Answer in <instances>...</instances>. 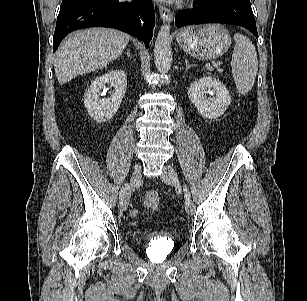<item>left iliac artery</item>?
<instances>
[{
	"label": "left iliac artery",
	"instance_id": "1",
	"mask_svg": "<svg viewBox=\"0 0 307 301\" xmlns=\"http://www.w3.org/2000/svg\"><path fill=\"white\" fill-rule=\"evenodd\" d=\"M184 192H185V197L187 198H189L190 197V193H189V191H188V189H187V187L185 186V188H184Z\"/></svg>",
	"mask_w": 307,
	"mask_h": 301
}]
</instances>
